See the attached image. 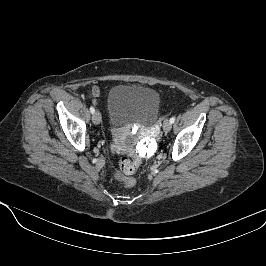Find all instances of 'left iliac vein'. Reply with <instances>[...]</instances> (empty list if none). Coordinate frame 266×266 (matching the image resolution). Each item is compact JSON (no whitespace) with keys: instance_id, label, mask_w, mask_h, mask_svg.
<instances>
[{"instance_id":"1","label":"left iliac vein","mask_w":266,"mask_h":266,"mask_svg":"<svg viewBox=\"0 0 266 266\" xmlns=\"http://www.w3.org/2000/svg\"><path fill=\"white\" fill-rule=\"evenodd\" d=\"M171 128H172V123L170 122V120H168V119L164 120V122H163V130L165 132H169L171 130Z\"/></svg>"}]
</instances>
